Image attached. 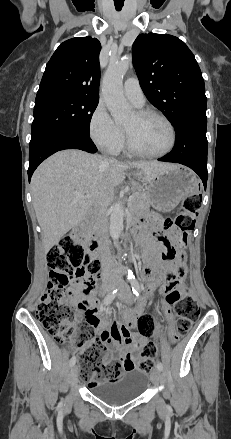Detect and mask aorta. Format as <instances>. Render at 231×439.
<instances>
[{"label": "aorta", "instance_id": "1", "mask_svg": "<svg viewBox=\"0 0 231 439\" xmlns=\"http://www.w3.org/2000/svg\"><path fill=\"white\" fill-rule=\"evenodd\" d=\"M130 57H123L118 61L111 62L105 72L102 83V96L109 112L115 122L122 123L127 121L132 109L123 95L122 80L131 65ZM124 209L121 203H116L111 209L110 215V235L113 240H118L124 225Z\"/></svg>", "mask_w": 231, "mask_h": 439}]
</instances>
